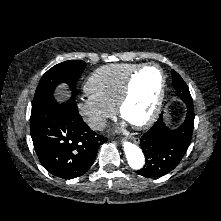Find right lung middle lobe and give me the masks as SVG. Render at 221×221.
<instances>
[{"mask_svg": "<svg viewBox=\"0 0 221 221\" xmlns=\"http://www.w3.org/2000/svg\"><path fill=\"white\" fill-rule=\"evenodd\" d=\"M86 67V63L79 60H68L50 68L41 78L32 102V110L41 106L45 101L53 98V92L60 83H67L73 90L77 80ZM74 92L72 97H74Z\"/></svg>", "mask_w": 221, "mask_h": 221, "instance_id": "obj_1", "label": "right lung middle lobe"}]
</instances>
